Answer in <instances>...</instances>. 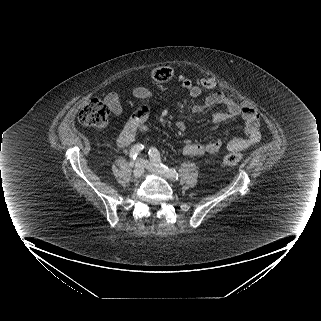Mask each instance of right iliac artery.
Masks as SVG:
<instances>
[{"instance_id": "obj_1", "label": "right iliac artery", "mask_w": 321, "mask_h": 321, "mask_svg": "<svg viewBox=\"0 0 321 321\" xmlns=\"http://www.w3.org/2000/svg\"><path fill=\"white\" fill-rule=\"evenodd\" d=\"M144 149V145L142 144H136L134 145L129 153V157L131 160H135L137 156L140 154V152Z\"/></svg>"}]
</instances>
